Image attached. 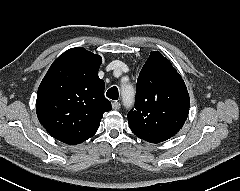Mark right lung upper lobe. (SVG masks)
Here are the masks:
<instances>
[{"instance_id": "cb5924a9", "label": "right lung upper lobe", "mask_w": 240, "mask_h": 191, "mask_svg": "<svg viewBox=\"0 0 240 191\" xmlns=\"http://www.w3.org/2000/svg\"><path fill=\"white\" fill-rule=\"evenodd\" d=\"M102 58L82 47L69 49L51 65L37 93L39 122L51 136L66 144L92 137L103 113L111 110L98 77Z\"/></svg>"}]
</instances>
